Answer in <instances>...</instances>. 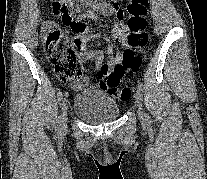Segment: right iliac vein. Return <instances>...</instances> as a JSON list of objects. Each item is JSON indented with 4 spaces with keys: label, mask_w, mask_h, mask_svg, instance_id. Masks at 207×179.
<instances>
[{
    "label": "right iliac vein",
    "mask_w": 207,
    "mask_h": 179,
    "mask_svg": "<svg viewBox=\"0 0 207 179\" xmlns=\"http://www.w3.org/2000/svg\"><path fill=\"white\" fill-rule=\"evenodd\" d=\"M61 111L62 113L60 116V126H61V129L63 130L66 127L67 116H68V105L66 102H63Z\"/></svg>",
    "instance_id": "right-iliac-vein-1"
}]
</instances>
